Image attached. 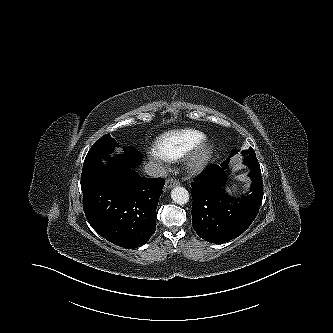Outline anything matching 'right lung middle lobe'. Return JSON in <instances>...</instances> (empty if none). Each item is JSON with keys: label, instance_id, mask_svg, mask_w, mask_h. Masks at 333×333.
<instances>
[{"label": "right lung middle lobe", "instance_id": "dd1d6c3e", "mask_svg": "<svg viewBox=\"0 0 333 333\" xmlns=\"http://www.w3.org/2000/svg\"><path fill=\"white\" fill-rule=\"evenodd\" d=\"M117 142L106 134L99 138L90 148L84 160L82 178H89L107 169H120L132 167L141 161V155L135 149L125 148V156L111 157L110 152L117 146ZM102 160L108 162L107 166L102 165Z\"/></svg>", "mask_w": 333, "mask_h": 333}]
</instances>
